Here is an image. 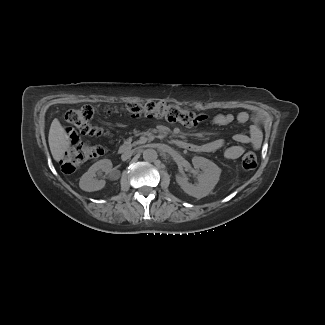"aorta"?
<instances>
[{
    "label": "aorta",
    "mask_w": 325,
    "mask_h": 325,
    "mask_svg": "<svg viewBox=\"0 0 325 325\" xmlns=\"http://www.w3.org/2000/svg\"><path fill=\"white\" fill-rule=\"evenodd\" d=\"M157 152L152 148L145 149L143 151V159L145 161L153 162L157 159Z\"/></svg>",
    "instance_id": "762f6f07"
}]
</instances>
